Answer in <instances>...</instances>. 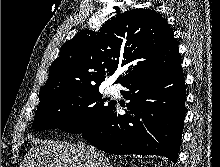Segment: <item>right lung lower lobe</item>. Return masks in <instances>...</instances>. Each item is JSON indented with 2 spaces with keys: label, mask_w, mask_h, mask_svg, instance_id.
Instances as JSON below:
<instances>
[{
  "label": "right lung lower lobe",
  "mask_w": 220,
  "mask_h": 167,
  "mask_svg": "<svg viewBox=\"0 0 220 167\" xmlns=\"http://www.w3.org/2000/svg\"><path fill=\"white\" fill-rule=\"evenodd\" d=\"M130 102L125 114L110 107L82 137L110 154L161 155L177 161L185 114V78L181 63L150 72L123 85Z\"/></svg>",
  "instance_id": "1"
}]
</instances>
